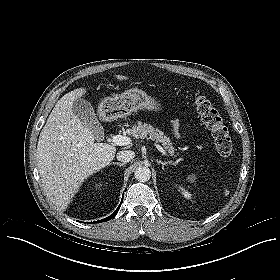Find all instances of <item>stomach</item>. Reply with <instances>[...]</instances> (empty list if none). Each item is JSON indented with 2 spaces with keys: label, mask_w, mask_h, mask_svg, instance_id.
<instances>
[{
  "label": "stomach",
  "mask_w": 280,
  "mask_h": 280,
  "mask_svg": "<svg viewBox=\"0 0 280 280\" xmlns=\"http://www.w3.org/2000/svg\"><path fill=\"white\" fill-rule=\"evenodd\" d=\"M99 110L106 118L116 120L137 110L158 112L161 110V105L141 89L132 88L122 94L104 98L99 105Z\"/></svg>",
  "instance_id": "obj_1"
}]
</instances>
